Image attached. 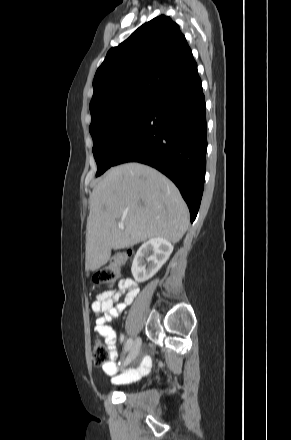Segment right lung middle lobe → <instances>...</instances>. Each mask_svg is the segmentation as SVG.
Listing matches in <instances>:
<instances>
[{
    "instance_id": "right-lung-middle-lobe-1",
    "label": "right lung middle lobe",
    "mask_w": 291,
    "mask_h": 440,
    "mask_svg": "<svg viewBox=\"0 0 291 440\" xmlns=\"http://www.w3.org/2000/svg\"><path fill=\"white\" fill-rule=\"evenodd\" d=\"M154 96H138L102 104L91 110L96 176L103 174L151 110Z\"/></svg>"
}]
</instances>
